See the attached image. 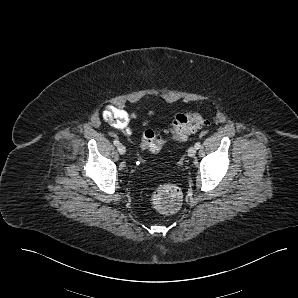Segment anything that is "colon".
I'll return each mask as SVG.
<instances>
[{"label": "colon", "mask_w": 298, "mask_h": 298, "mask_svg": "<svg viewBox=\"0 0 298 298\" xmlns=\"http://www.w3.org/2000/svg\"><path fill=\"white\" fill-rule=\"evenodd\" d=\"M204 125V119L198 112H187L176 115L169 130V137L174 140H184ZM167 139L153 130H146L142 137V148L156 153L165 145ZM182 192L174 184H162L151 191V203L160 213L177 212L182 204Z\"/></svg>", "instance_id": "5ec220e1"}]
</instances>
